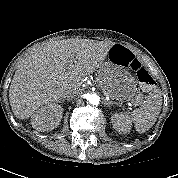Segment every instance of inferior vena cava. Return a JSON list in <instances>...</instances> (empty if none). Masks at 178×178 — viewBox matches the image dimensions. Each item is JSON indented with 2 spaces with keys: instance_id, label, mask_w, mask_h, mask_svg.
Masks as SVG:
<instances>
[{
  "instance_id": "inferior-vena-cava-1",
  "label": "inferior vena cava",
  "mask_w": 178,
  "mask_h": 178,
  "mask_svg": "<svg viewBox=\"0 0 178 178\" xmlns=\"http://www.w3.org/2000/svg\"><path fill=\"white\" fill-rule=\"evenodd\" d=\"M81 94L80 89H73L70 93L67 94V98H73L74 96H77Z\"/></svg>"
}]
</instances>
